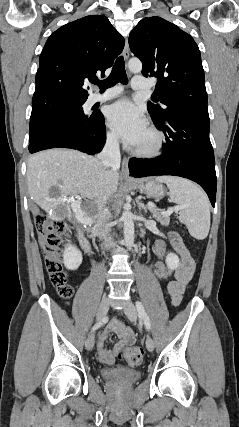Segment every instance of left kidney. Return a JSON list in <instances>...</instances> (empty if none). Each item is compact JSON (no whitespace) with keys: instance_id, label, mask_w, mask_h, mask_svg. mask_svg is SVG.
I'll use <instances>...</instances> for the list:
<instances>
[{"instance_id":"5707ae66","label":"left kidney","mask_w":239,"mask_h":427,"mask_svg":"<svg viewBox=\"0 0 239 427\" xmlns=\"http://www.w3.org/2000/svg\"><path fill=\"white\" fill-rule=\"evenodd\" d=\"M166 264L169 269L173 270L179 265V258L176 254L170 253L166 257Z\"/></svg>"}]
</instances>
